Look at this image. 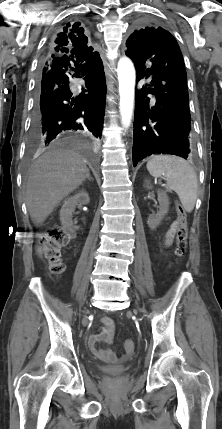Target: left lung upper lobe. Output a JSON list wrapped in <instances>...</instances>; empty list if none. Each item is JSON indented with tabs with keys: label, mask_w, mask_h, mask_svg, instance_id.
Segmentation results:
<instances>
[{
	"label": "left lung upper lobe",
	"mask_w": 222,
	"mask_h": 429,
	"mask_svg": "<svg viewBox=\"0 0 222 429\" xmlns=\"http://www.w3.org/2000/svg\"><path fill=\"white\" fill-rule=\"evenodd\" d=\"M167 32L168 31L162 29L161 27H145L135 30L128 38L126 46L129 48L130 46L134 44H140L141 42L147 44L149 41L153 43V45L156 42L160 43L162 41L163 34Z\"/></svg>",
	"instance_id": "5c2ea615"
}]
</instances>
